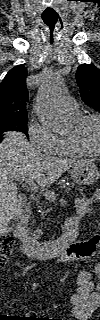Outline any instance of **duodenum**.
<instances>
[{"instance_id":"obj_1","label":"duodenum","mask_w":100,"mask_h":320,"mask_svg":"<svg viewBox=\"0 0 100 320\" xmlns=\"http://www.w3.org/2000/svg\"><path fill=\"white\" fill-rule=\"evenodd\" d=\"M79 219L80 216L78 214L70 217L65 233L59 239L38 241L29 235L27 227L28 215L23 214L17 219L14 234L21 242L22 251L29 258L59 260L64 252L71 247L73 240L77 236Z\"/></svg>"}]
</instances>
